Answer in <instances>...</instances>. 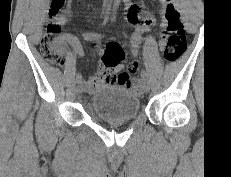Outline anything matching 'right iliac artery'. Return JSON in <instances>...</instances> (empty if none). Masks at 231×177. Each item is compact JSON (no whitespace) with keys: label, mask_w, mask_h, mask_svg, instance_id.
<instances>
[{"label":"right iliac artery","mask_w":231,"mask_h":177,"mask_svg":"<svg viewBox=\"0 0 231 177\" xmlns=\"http://www.w3.org/2000/svg\"><path fill=\"white\" fill-rule=\"evenodd\" d=\"M76 82L77 83H81L82 82V75L81 74H77V76H76Z\"/></svg>","instance_id":"82829eb1"}]
</instances>
